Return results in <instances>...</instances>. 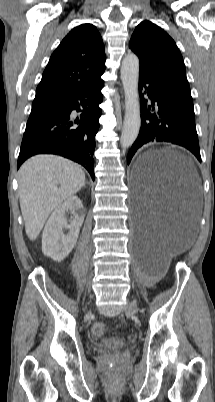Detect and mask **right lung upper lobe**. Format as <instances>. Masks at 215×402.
Wrapping results in <instances>:
<instances>
[{
	"mask_svg": "<svg viewBox=\"0 0 215 402\" xmlns=\"http://www.w3.org/2000/svg\"><path fill=\"white\" fill-rule=\"evenodd\" d=\"M105 60L97 28L92 24L77 26L51 55L33 103L60 102L93 84L104 73Z\"/></svg>",
	"mask_w": 215,
	"mask_h": 402,
	"instance_id": "obj_1",
	"label": "right lung upper lobe"
}]
</instances>
